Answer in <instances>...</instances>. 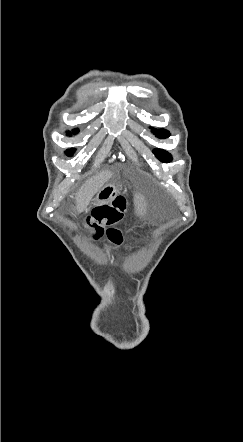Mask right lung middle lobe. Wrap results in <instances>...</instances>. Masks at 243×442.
Wrapping results in <instances>:
<instances>
[{
    "label": "right lung middle lobe",
    "instance_id": "obj_1",
    "mask_svg": "<svg viewBox=\"0 0 243 442\" xmlns=\"http://www.w3.org/2000/svg\"><path fill=\"white\" fill-rule=\"evenodd\" d=\"M73 133L74 134L78 133V130L77 129L73 130ZM68 134H70V132H68ZM72 151H73V149L67 150V152H66L67 155L72 156L73 155Z\"/></svg>",
    "mask_w": 243,
    "mask_h": 442
}]
</instances>
